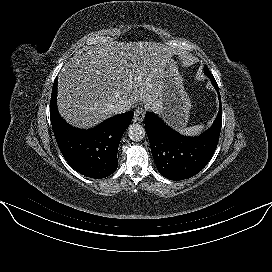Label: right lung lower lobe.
<instances>
[{
	"mask_svg": "<svg viewBox=\"0 0 272 272\" xmlns=\"http://www.w3.org/2000/svg\"><path fill=\"white\" fill-rule=\"evenodd\" d=\"M57 77L54 81L50 119L57 144L66 161L77 172L101 179L118 166L117 150L121 137L133 119L134 112L115 115L89 130L68 125L57 110Z\"/></svg>",
	"mask_w": 272,
	"mask_h": 272,
	"instance_id": "98d812e1",
	"label": "right lung lower lobe"
}]
</instances>
